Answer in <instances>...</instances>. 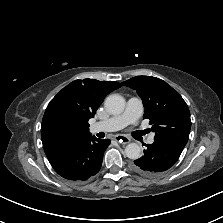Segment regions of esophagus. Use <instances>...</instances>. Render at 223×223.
<instances>
[{
  "instance_id": "1",
  "label": "esophagus",
  "mask_w": 223,
  "mask_h": 223,
  "mask_svg": "<svg viewBox=\"0 0 223 223\" xmlns=\"http://www.w3.org/2000/svg\"><path fill=\"white\" fill-rule=\"evenodd\" d=\"M114 140H116L117 142L121 143V144H128L130 143V139L128 137H126L125 135H115L114 136Z\"/></svg>"
}]
</instances>
